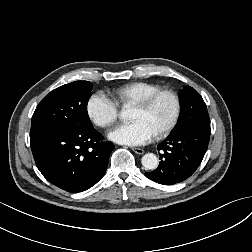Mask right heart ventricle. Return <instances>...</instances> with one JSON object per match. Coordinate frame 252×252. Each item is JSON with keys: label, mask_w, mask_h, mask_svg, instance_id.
<instances>
[{"label": "right heart ventricle", "mask_w": 252, "mask_h": 252, "mask_svg": "<svg viewBox=\"0 0 252 252\" xmlns=\"http://www.w3.org/2000/svg\"><path fill=\"white\" fill-rule=\"evenodd\" d=\"M159 89L161 86L158 84L144 81L133 82L114 91L113 97L120 104L135 105Z\"/></svg>", "instance_id": "obj_1"}]
</instances>
